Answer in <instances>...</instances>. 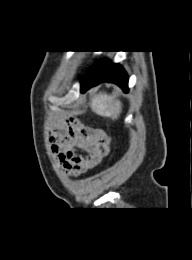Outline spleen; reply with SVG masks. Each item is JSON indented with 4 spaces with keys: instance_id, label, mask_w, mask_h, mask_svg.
Wrapping results in <instances>:
<instances>
[{
    "instance_id": "3e777b00",
    "label": "spleen",
    "mask_w": 192,
    "mask_h": 260,
    "mask_svg": "<svg viewBox=\"0 0 192 260\" xmlns=\"http://www.w3.org/2000/svg\"><path fill=\"white\" fill-rule=\"evenodd\" d=\"M91 110L102 117H110L112 120L118 119L122 111V103L116 99V95L113 93L108 95L107 93L97 94L91 101Z\"/></svg>"
}]
</instances>
